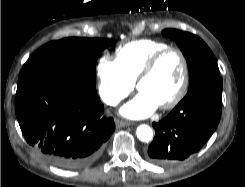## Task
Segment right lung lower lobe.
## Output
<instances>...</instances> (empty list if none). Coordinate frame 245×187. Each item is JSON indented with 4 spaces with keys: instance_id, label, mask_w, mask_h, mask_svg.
<instances>
[{
    "instance_id": "1",
    "label": "right lung lower lobe",
    "mask_w": 245,
    "mask_h": 187,
    "mask_svg": "<svg viewBox=\"0 0 245 187\" xmlns=\"http://www.w3.org/2000/svg\"><path fill=\"white\" fill-rule=\"evenodd\" d=\"M15 112L29 145L45 161L63 169L89 166L115 130L102 117L95 87L55 74L18 81Z\"/></svg>"
}]
</instances>
